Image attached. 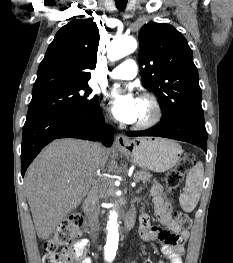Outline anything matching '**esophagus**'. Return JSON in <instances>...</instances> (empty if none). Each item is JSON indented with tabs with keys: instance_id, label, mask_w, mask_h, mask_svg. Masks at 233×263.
<instances>
[{
	"instance_id": "obj_1",
	"label": "esophagus",
	"mask_w": 233,
	"mask_h": 263,
	"mask_svg": "<svg viewBox=\"0 0 233 263\" xmlns=\"http://www.w3.org/2000/svg\"><path fill=\"white\" fill-rule=\"evenodd\" d=\"M129 144V139L123 134H118L115 138V146L117 148H125Z\"/></svg>"
}]
</instances>
